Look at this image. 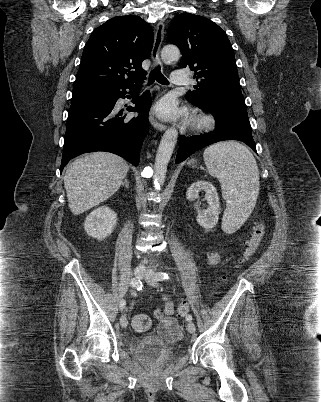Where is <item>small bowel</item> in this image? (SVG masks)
<instances>
[{"mask_svg":"<svg viewBox=\"0 0 321 402\" xmlns=\"http://www.w3.org/2000/svg\"><path fill=\"white\" fill-rule=\"evenodd\" d=\"M219 254L211 252L207 256V261L210 265H215L219 261ZM174 313L173 303L166 298V304L163 309L154 311V316L158 320V333L170 342H175L181 338V330L177 320L172 317Z\"/></svg>","mask_w":321,"mask_h":402,"instance_id":"1","label":"small bowel"}]
</instances>
